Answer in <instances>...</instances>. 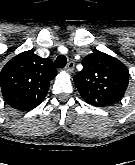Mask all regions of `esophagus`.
Masks as SVG:
<instances>
[{
	"instance_id": "esophagus-1",
	"label": "esophagus",
	"mask_w": 135,
	"mask_h": 165,
	"mask_svg": "<svg viewBox=\"0 0 135 165\" xmlns=\"http://www.w3.org/2000/svg\"><path fill=\"white\" fill-rule=\"evenodd\" d=\"M74 66H75L74 61H70V62L66 65V67L64 68V70H65L66 72H68V73H72L73 70H74Z\"/></svg>"
}]
</instances>
